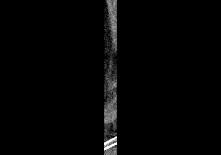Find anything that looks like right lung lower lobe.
<instances>
[{"label":"right lung lower lobe","mask_w":221,"mask_h":155,"mask_svg":"<svg viewBox=\"0 0 221 155\" xmlns=\"http://www.w3.org/2000/svg\"><path fill=\"white\" fill-rule=\"evenodd\" d=\"M117 136H118V139L121 138L120 141L118 140V154L125 155L127 154V146L129 144L126 130L122 127L118 128ZM96 138H98V143L103 142V129H98L96 131ZM100 154H103V153H100Z\"/></svg>","instance_id":"right-lung-lower-lobe-1"}]
</instances>
